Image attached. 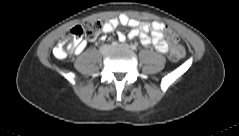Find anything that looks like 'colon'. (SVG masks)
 <instances>
[{
  "label": "colon",
  "instance_id": "colon-1",
  "mask_svg": "<svg viewBox=\"0 0 239 136\" xmlns=\"http://www.w3.org/2000/svg\"><path fill=\"white\" fill-rule=\"evenodd\" d=\"M100 28L101 23L98 20L87 21L82 25L73 27L61 38L54 50V54L58 58L67 57L78 48L84 35L93 38L99 33ZM165 37L171 43L169 59L173 62L181 60L185 54V48L178 43L179 37L177 33L171 29H166Z\"/></svg>",
  "mask_w": 239,
  "mask_h": 136
}]
</instances>
